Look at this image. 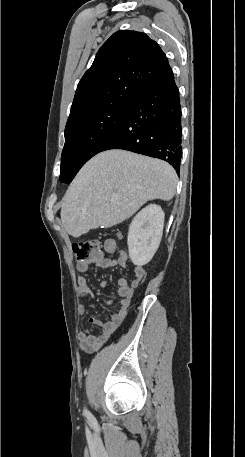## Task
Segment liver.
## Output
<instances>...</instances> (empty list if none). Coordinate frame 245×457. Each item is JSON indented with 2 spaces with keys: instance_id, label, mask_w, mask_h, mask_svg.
I'll return each instance as SVG.
<instances>
[{
  "instance_id": "1",
  "label": "liver",
  "mask_w": 245,
  "mask_h": 457,
  "mask_svg": "<svg viewBox=\"0 0 245 457\" xmlns=\"http://www.w3.org/2000/svg\"><path fill=\"white\" fill-rule=\"evenodd\" d=\"M177 180L173 166L160 158L121 148L99 152L66 190L61 208L64 229L76 239L98 226L107 229L132 216L147 200H170Z\"/></svg>"
}]
</instances>
